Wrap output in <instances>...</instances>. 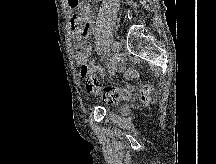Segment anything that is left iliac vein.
I'll return each instance as SVG.
<instances>
[{
	"label": "left iliac vein",
	"mask_w": 216,
	"mask_h": 164,
	"mask_svg": "<svg viewBox=\"0 0 216 164\" xmlns=\"http://www.w3.org/2000/svg\"><path fill=\"white\" fill-rule=\"evenodd\" d=\"M112 52L115 53L117 56L113 59L117 61L116 65H112L113 71L112 74H114V71L120 66L119 65V59H120V43L118 41H114L112 45Z\"/></svg>",
	"instance_id": "left-iliac-vein-1"
}]
</instances>
